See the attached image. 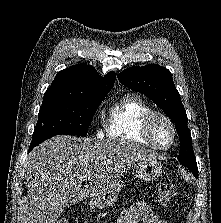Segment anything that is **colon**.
<instances>
[{
	"instance_id": "5ec220e1",
	"label": "colon",
	"mask_w": 221,
	"mask_h": 223,
	"mask_svg": "<svg viewBox=\"0 0 221 223\" xmlns=\"http://www.w3.org/2000/svg\"><path fill=\"white\" fill-rule=\"evenodd\" d=\"M159 200L162 205H169L178 195V189L174 183L169 180H162L158 189ZM56 223H70L67 217H60Z\"/></svg>"
}]
</instances>
